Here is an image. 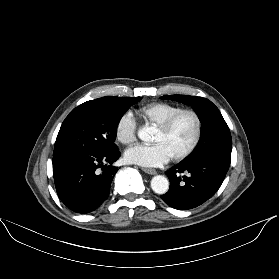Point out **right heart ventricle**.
Here are the masks:
<instances>
[{"instance_id":"right-heart-ventricle-1","label":"right heart ventricle","mask_w":279,"mask_h":279,"mask_svg":"<svg viewBox=\"0 0 279 279\" xmlns=\"http://www.w3.org/2000/svg\"><path fill=\"white\" fill-rule=\"evenodd\" d=\"M181 109V107L174 104L166 102H154L141 106L137 110V113L145 124L157 127L168 117Z\"/></svg>"}]
</instances>
